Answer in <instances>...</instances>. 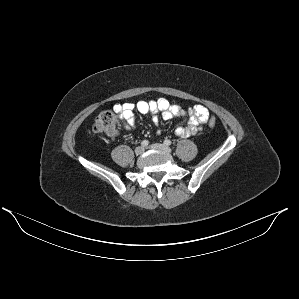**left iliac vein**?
Segmentation results:
<instances>
[{"mask_svg": "<svg viewBox=\"0 0 299 299\" xmlns=\"http://www.w3.org/2000/svg\"><path fill=\"white\" fill-rule=\"evenodd\" d=\"M152 149H155V150H161V151H164L166 153H170L171 152V148L164 145V144H160V143H155V144H152L150 146Z\"/></svg>", "mask_w": 299, "mask_h": 299, "instance_id": "4c4485c4", "label": "left iliac vein"}]
</instances>
